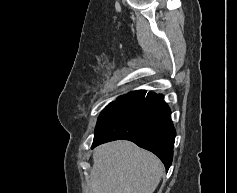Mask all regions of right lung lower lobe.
I'll return each mask as SVG.
<instances>
[{"mask_svg": "<svg viewBox=\"0 0 237 193\" xmlns=\"http://www.w3.org/2000/svg\"><path fill=\"white\" fill-rule=\"evenodd\" d=\"M170 115L168 105L158 94L134 91L102 111L92 148L113 140H130L157 155L168 171L176 135Z\"/></svg>", "mask_w": 237, "mask_h": 193, "instance_id": "obj_1", "label": "right lung lower lobe"}]
</instances>
